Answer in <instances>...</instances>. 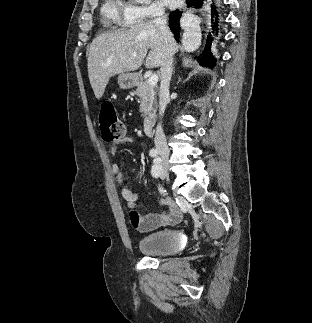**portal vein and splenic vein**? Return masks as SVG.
I'll return each instance as SVG.
<instances>
[{"instance_id":"1","label":"portal vein and splenic vein","mask_w":312,"mask_h":323,"mask_svg":"<svg viewBox=\"0 0 312 323\" xmlns=\"http://www.w3.org/2000/svg\"><path fill=\"white\" fill-rule=\"evenodd\" d=\"M132 56H137V54H132ZM158 82V76H156V74H152V76H150L149 80H148V84H150V86H156Z\"/></svg>"}]
</instances>
